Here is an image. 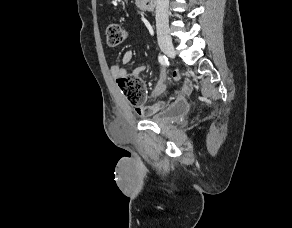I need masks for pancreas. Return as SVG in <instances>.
Wrapping results in <instances>:
<instances>
[{
	"instance_id": "1",
	"label": "pancreas",
	"mask_w": 292,
	"mask_h": 228,
	"mask_svg": "<svg viewBox=\"0 0 292 228\" xmlns=\"http://www.w3.org/2000/svg\"><path fill=\"white\" fill-rule=\"evenodd\" d=\"M139 1H140V0H136V4H138V3H139Z\"/></svg>"
}]
</instances>
